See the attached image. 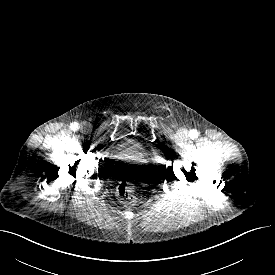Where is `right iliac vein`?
<instances>
[{
  "instance_id": "1",
  "label": "right iliac vein",
  "mask_w": 275,
  "mask_h": 275,
  "mask_svg": "<svg viewBox=\"0 0 275 275\" xmlns=\"http://www.w3.org/2000/svg\"><path fill=\"white\" fill-rule=\"evenodd\" d=\"M88 127H89V125L84 124V125L82 126V129L86 130V129H88Z\"/></svg>"
}]
</instances>
